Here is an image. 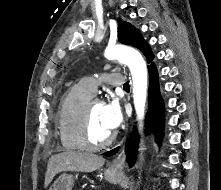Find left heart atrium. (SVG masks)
<instances>
[{"label":"left heart atrium","mask_w":221,"mask_h":190,"mask_svg":"<svg viewBox=\"0 0 221 190\" xmlns=\"http://www.w3.org/2000/svg\"><path fill=\"white\" fill-rule=\"evenodd\" d=\"M102 116L107 129L116 130L122 122V113L118 102L112 100L102 104Z\"/></svg>","instance_id":"39dd6f15"}]
</instances>
